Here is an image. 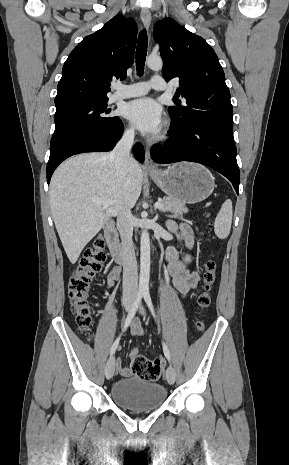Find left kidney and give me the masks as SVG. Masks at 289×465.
I'll return each instance as SVG.
<instances>
[{
    "label": "left kidney",
    "mask_w": 289,
    "mask_h": 465,
    "mask_svg": "<svg viewBox=\"0 0 289 465\" xmlns=\"http://www.w3.org/2000/svg\"><path fill=\"white\" fill-rule=\"evenodd\" d=\"M185 260L186 261H191L190 256H186Z\"/></svg>",
    "instance_id": "obj_1"
}]
</instances>
